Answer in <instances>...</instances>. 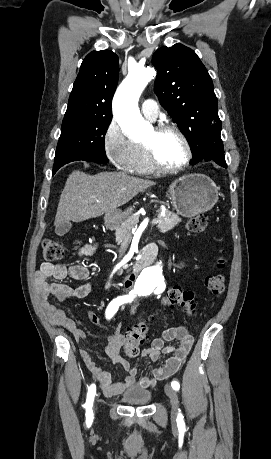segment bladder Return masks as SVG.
<instances>
[{
    "label": "bladder",
    "instance_id": "31cf9c89",
    "mask_svg": "<svg viewBox=\"0 0 271 459\" xmlns=\"http://www.w3.org/2000/svg\"><path fill=\"white\" fill-rule=\"evenodd\" d=\"M151 398V393L146 390L134 389L122 395L128 405H145Z\"/></svg>",
    "mask_w": 271,
    "mask_h": 459
}]
</instances>
